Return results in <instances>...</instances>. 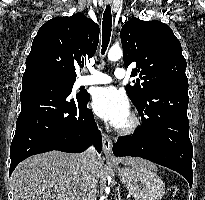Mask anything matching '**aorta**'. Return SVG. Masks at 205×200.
<instances>
[{
    "label": "aorta",
    "instance_id": "aorta-1",
    "mask_svg": "<svg viewBox=\"0 0 205 200\" xmlns=\"http://www.w3.org/2000/svg\"><path fill=\"white\" fill-rule=\"evenodd\" d=\"M122 54V49L119 46H112L108 52V59L110 61H117L122 57Z\"/></svg>",
    "mask_w": 205,
    "mask_h": 200
}]
</instances>
